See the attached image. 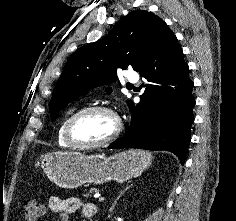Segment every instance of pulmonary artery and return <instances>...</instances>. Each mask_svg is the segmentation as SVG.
Returning <instances> with one entry per match:
<instances>
[{"instance_id": "e3ab8cb5", "label": "pulmonary artery", "mask_w": 236, "mask_h": 221, "mask_svg": "<svg viewBox=\"0 0 236 221\" xmlns=\"http://www.w3.org/2000/svg\"><path fill=\"white\" fill-rule=\"evenodd\" d=\"M127 79H128V81L129 82H131V83H136L137 81H138V75H135V74H128L127 75Z\"/></svg>"}]
</instances>
